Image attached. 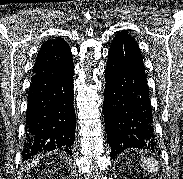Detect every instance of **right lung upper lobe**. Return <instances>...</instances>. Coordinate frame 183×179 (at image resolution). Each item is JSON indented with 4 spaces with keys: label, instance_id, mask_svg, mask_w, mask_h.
I'll use <instances>...</instances> for the list:
<instances>
[{
    "label": "right lung upper lobe",
    "instance_id": "1",
    "mask_svg": "<svg viewBox=\"0 0 183 179\" xmlns=\"http://www.w3.org/2000/svg\"><path fill=\"white\" fill-rule=\"evenodd\" d=\"M73 67L69 45L64 39L56 38L42 44L33 67V74L63 73Z\"/></svg>",
    "mask_w": 183,
    "mask_h": 179
}]
</instances>
